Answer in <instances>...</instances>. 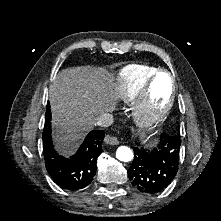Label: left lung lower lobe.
Here are the masks:
<instances>
[{"label": "left lung lower lobe", "mask_w": 221, "mask_h": 221, "mask_svg": "<svg viewBox=\"0 0 221 221\" xmlns=\"http://www.w3.org/2000/svg\"><path fill=\"white\" fill-rule=\"evenodd\" d=\"M180 146V134H162L152 150L134 148V160L128 170L132 185L147 194L164 190L178 171Z\"/></svg>", "instance_id": "1"}]
</instances>
